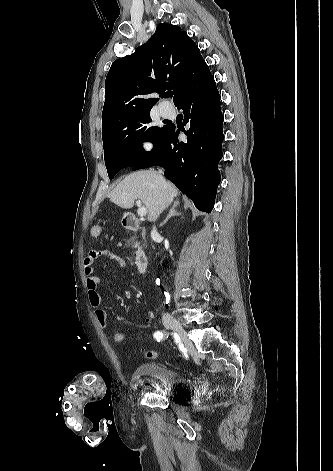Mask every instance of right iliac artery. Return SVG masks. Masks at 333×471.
I'll return each mask as SVG.
<instances>
[{
    "label": "right iliac artery",
    "instance_id": "right-iliac-artery-1",
    "mask_svg": "<svg viewBox=\"0 0 333 471\" xmlns=\"http://www.w3.org/2000/svg\"><path fill=\"white\" fill-rule=\"evenodd\" d=\"M163 337H164V333L161 332V331H157V332L154 333V338H155L157 341H160Z\"/></svg>",
    "mask_w": 333,
    "mask_h": 471
}]
</instances>
